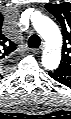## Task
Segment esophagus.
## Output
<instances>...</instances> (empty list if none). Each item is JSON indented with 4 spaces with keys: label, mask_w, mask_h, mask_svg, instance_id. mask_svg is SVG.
Listing matches in <instances>:
<instances>
[{
    "label": "esophagus",
    "mask_w": 71,
    "mask_h": 119,
    "mask_svg": "<svg viewBox=\"0 0 71 119\" xmlns=\"http://www.w3.org/2000/svg\"><path fill=\"white\" fill-rule=\"evenodd\" d=\"M44 47V44L39 49H31L32 53L34 54H40L42 51V48Z\"/></svg>",
    "instance_id": "34e87169"
}]
</instances>
